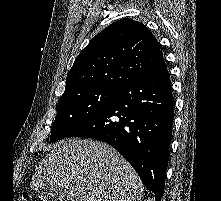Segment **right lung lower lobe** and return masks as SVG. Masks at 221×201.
I'll list each match as a JSON object with an SVG mask.
<instances>
[{
    "label": "right lung lower lobe",
    "instance_id": "1",
    "mask_svg": "<svg viewBox=\"0 0 221 201\" xmlns=\"http://www.w3.org/2000/svg\"><path fill=\"white\" fill-rule=\"evenodd\" d=\"M174 97L162 63L118 89L113 99L68 137L104 141L132 165L147 189L161 201L172 139Z\"/></svg>",
    "mask_w": 221,
    "mask_h": 201
}]
</instances>
